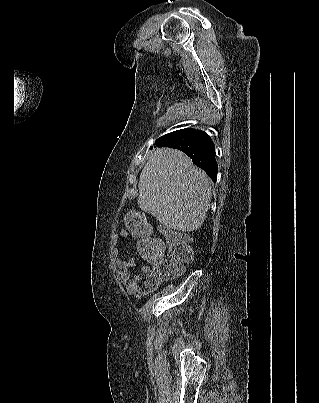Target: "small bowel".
Segmentation results:
<instances>
[{"label":"small bowel","mask_w":319,"mask_h":403,"mask_svg":"<svg viewBox=\"0 0 319 403\" xmlns=\"http://www.w3.org/2000/svg\"><path fill=\"white\" fill-rule=\"evenodd\" d=\"M128 231H123L121 232V237H127L128 236ZM144 258V257H143ZM136 261L134 257H129L128 259H121L119 257H115L113 260V265L112 268L114 272L117 273V275L120 277V279L126 284L127 289L131 292L134 293L137 290L136 287V282H137V277H132L129 273V270L133 267H135ZM150 269L148 265H144L142 267V272H146Z\"/></svg>","instance_id":"1"}]
</instances>
